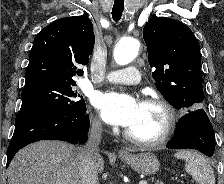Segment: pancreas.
Instances as JSON below:
<instances>
[{
    "label": "pancreas",
    "instance_id": "pancreas-1",
    "mask_svg": "<svg viewBox=\"0 0 224 184\" xmlns=\"http://www.w3.org/2000/svg\"><path fill=\"white\" fill-rule=\"evenodd\" d=\"M158 184H164V183L160 182V183H158Z\"/></svg>",
    "mask_w": 224,
    "mask_h": 184
}]
</instances>
